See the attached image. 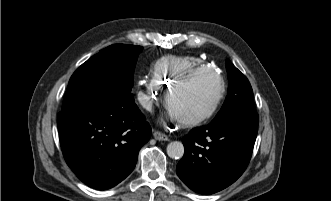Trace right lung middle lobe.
<instances>
[{"instance_id": "obj_1", "label": "right lung middle lobe", "mask_w": 331, "mask_h": 201, "mask_svg": "<svg viewBox=\"0 0 331 201\" xmlns=\"http://www.w3.org/2000/svg\"><path fill=\"white\" fill-rule=\"evenodd\" d=\"M141 46L115 44L89 58L70 78L62 111L98 99L128 94Z\"/></svg>"}]
</instances>
